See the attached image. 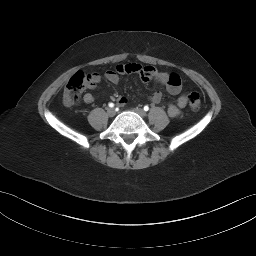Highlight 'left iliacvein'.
Returning <instances> with one entry per match:
<instances>
[{"label":"left iliac vein","mask_w":256,"mask_h":256,"mask_svg":"<svg viewBox=\"0 0 256 256\" xmlns=\"http://www.w3.org/2000/svg\"><path fill=\"white\" fill-rule=\"evenodd\" d=\"M134 112H136L137 114H139L142 117L146 116V112L143 109H141V108H135Z\"/></svg>","instance_id":"left-iliac-vein-1"}]
</instances>
